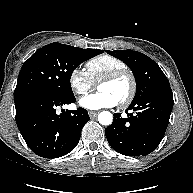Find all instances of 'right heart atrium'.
<instances>
[{
  "instance_id": "right-heart-atrium-1",
  "label": "right heart atrium",
  "mask_w": 193,
  "mask_h": 193,
  "mask_svg": "<svg viewBox=\"0 0 193 193\" xmlns=\"http://www.w3.org/2000/svg\"><path fill=\"white\" fill-rule=\"evenodd\" d=\"M68 83L71 90L81 96L94 89L95 83L92 81L87 71L80 67L73 68L69 73Z\"/></svg>"
}]
</instances>
